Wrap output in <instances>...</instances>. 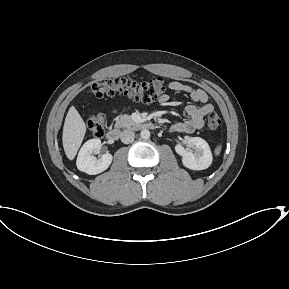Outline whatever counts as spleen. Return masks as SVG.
<instances>
[{"instance_id":"spleen-1","label":"spleen","mask_w":289,"mask_h":289,"mask_svg":"<svg viewBox=\"0 0 289 289\" xmlns=\"http://www.w3.org/2000/svg\"><path fill=\"white\" fill-rule=\"evenodd\" d=\"M220 151H221V145H218V146L215 148V155H219V154H220Z\"/></svg>"}]
</instances>
